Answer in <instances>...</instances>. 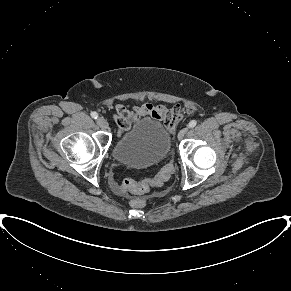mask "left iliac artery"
Segmentation results:
<instances>
[{"label":"left iliac artery","instance_id":"44dca946","mask_svg":"<svg viewBox=\"0 0 291 291\" xmlns=\"http://www.w3.org/2000/svg\"><path fill=\"white\" fill-rule=\"evenodd\" d=\"M196 124H197V121H196V120H192V121H190V123L188 124V127H189V128H193V127L196 126Z\"/></svg>","mask_w":291,"mask_h":291}]
</instances>
